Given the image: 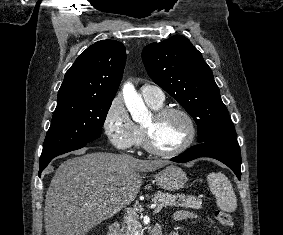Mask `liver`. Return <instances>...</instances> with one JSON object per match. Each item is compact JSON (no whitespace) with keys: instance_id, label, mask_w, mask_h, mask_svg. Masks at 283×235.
<instances>
[{"instance_id":"6515ba94","label":"liver","mask_w":283,"mask_h":235,"mask_svg":"<svg viewBox=\"0 0 283 235\" xmlns=\"http://www.w3.org/2000/svg\"><path fill=\"white\" fill-rule=\"evenodd\" d=\"M56 170L45 198L46 235H86L137 197L139 172L168 164L126 154L75 152Z\"/></svg>"}]
</instances>
